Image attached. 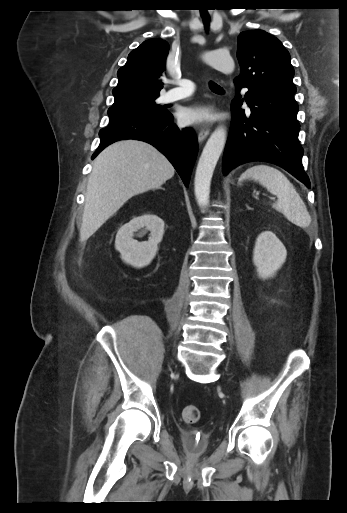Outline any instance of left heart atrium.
Instances as JSON below:
<instances>
[{
  "instance_id": "left-heart-atrium-1",
  "label": "left heart atrium",
  "mask_w": 347,
  "mask_h": 513,
  "mask_svg": "<svg viewBox=\"0 0 347 513\" xmlns=\"http://www.w3.org/2000/svg\"><path fill=\"white\" fill-rule=\"evenodd\" d=\"M207 117V112L202 107L185 108L181 112V121L184 125L196 124Z\"/></svg>"
}]
</instances>
